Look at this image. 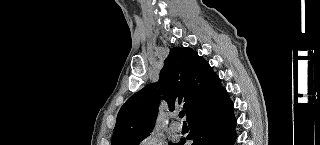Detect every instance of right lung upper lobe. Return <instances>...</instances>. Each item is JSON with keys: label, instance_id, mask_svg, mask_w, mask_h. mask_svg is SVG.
Masks as SVG:
<instances>
[{"label": "right lung upper lobe", "instance_id": "obj_1", "mask_svg": "<svg viewBox=\"0 0 320 145\" xmlns=\"http://www.w3.org/2000/svg\"><path fill=\"white\" fill-rule=\"evenodd\" d=\"M217 77L210 65L191 48L171 49L158 83L145 86L121 107L112 145H131L150 133L160 102L155 86L161 87L169 110L183 104L188 119L206 104L211 85Z\"/></svg>", "mask_w": 320, "mask_h": 145}]
</instances>
